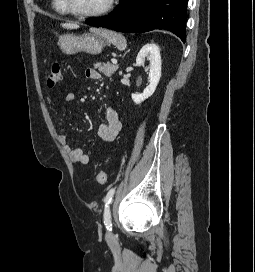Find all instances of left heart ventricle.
Wrapping results in <instances>:
<instances>
[{
  "label": "left heart ventricle",
  "mask_w": 255,
  "mask_h": 272,
  "mask_svg": "<svg viewBox=\"0 0 255 272\" xmlns=\"http://www.w3.org/2000/svg\"><path fill=\"white\" fill-rule=\"evenodd\" d=\"M73 8L82 13L94 12L101 9L107 0H70Z\"/></svg>",
  "instance_id": "1"
}]
</instances>
